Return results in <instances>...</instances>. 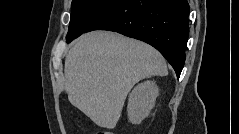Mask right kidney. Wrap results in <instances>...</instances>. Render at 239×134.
<instances>
[{"instance_id": "right-kidney-1", "label": "right kidney", "mask_w": 239, "mask_h": 134, "mask_svg": "<svg viewBox=\"0 0 239 134\" xmlns=\"http://www.w3.org/2000/svg\"><path fill=\"white\" fill-rule=\"evenodd\" d=\"M159 90L155 81L138 84L128 98V118L133 124H140L155 105Z\"/></svg>"}]
</instances>
